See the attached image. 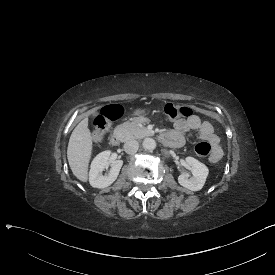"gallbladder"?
I'll return each mask as SVG.
<instances>
[{"mask_svg":"<svg viewBox=\"0 0 275 275\" xmlns=\"http://www.w3.org/2000/svg\"><path fill=\"white\" fill-rule=\"evenodd\" d=\"M92 115L93 117H96L98 115V112H94Z\"/></svg>","mask_w":275,"mask_h":275,"instance_id":"obj_1","label":"gallbladder"}]
</instances>
